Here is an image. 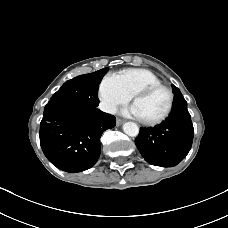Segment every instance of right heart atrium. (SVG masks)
<instances>
[{
  "instance_id": "right-heart-atrium-1",
  "label": "right heart atrium",
  "mask_w": 228,
  "mask_h": 228,
  "mask_svg": "<svg viewBox=\"0 0 228 228\" xmlns=\"http://www.w3.org/2000/svg\"><path fill=\"white\" fill-rule=\"evenodd\" d=\"M98 97L101 109L114 113L116 109L130 101L131 96L124 89L117 74H107L100 81Z\"/></svg>"
}]
</instances>
